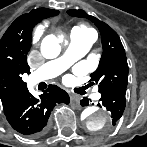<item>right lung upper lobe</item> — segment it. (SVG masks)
Here are the masks:
<instances>
[{
  "instance_id": "obj_1",
  "label": "right lung upper lobe",
  "mask_w": 147,
  "mask_h": 147,
  "mask_svg": "<svg viewBox=\"0 0 147 147\" xmlns=\"http://www.w3.org/2000/svg\"><path fill=\"white\" fill-rule=\"evenodd\" d=\"M59 11L38 8L18 17L0 40V98L3 110L25 100L30 94L22 80L24 73H30L27 54L32 35L29 29L45 18L56 16Z\"/></svg>"
}]
</instances>
